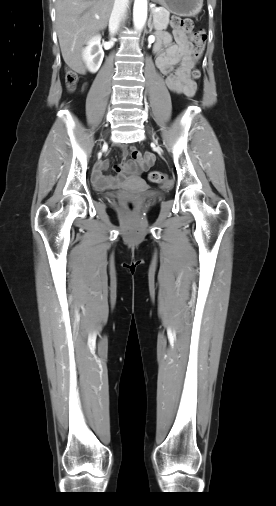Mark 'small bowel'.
I'll use <instances>...</instances> for the list:
<instances>
[{
    "label": "small bowel",
    "mask_w": 276,
    "mask_h": 506,
    "mask_svg": "<svg viewBox=\"0 0 276 506\" xmlns=\"http://www.w3.org/2000/svg\"><path fill=\"white\" fill-rule=\"evenodd\" d=\"M174 38L176 43H172L167 35L160 36L156 46V64L165 76V84L168 89L177 94L192 97L196 90V84L189 76L193 66L192 44L189 35L181 30L174 31ZM162 45L165 46V51L162 50ZM176 65H178L177 68H175ZM127 155H130L129 160H127ZM153 161L154 157L150 153L142 154L136 147L123 148L122 161L116 166L117 175L115 177L103 175V171L107 167L106 160L98 162L93 172L95 186L104 189L124 183L129 178H136L139 170L148 169Z\"/></svg>",
    "instance_id": "obj_1"
}]
</instances>
